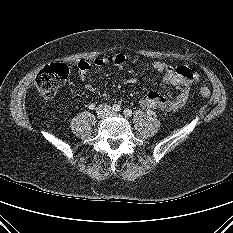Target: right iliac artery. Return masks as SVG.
<instances>
[{
	"label": "right iliac artery",
	"instance_id": "obj_1",
	"mask_svg": "<svg viewBox=\"0 0 233 233\" xmlns=\"http://www.w3.org/2000/svg\"><path fill=\"white\" fill-rule=\"evenodd\" d=\"M112 110L115 111V112H119L121 110V107L118 104H114L113 107H112Z\"/></svg>",
	"mask_w": 233,
	"mask_h": 233
}]
</instances>
